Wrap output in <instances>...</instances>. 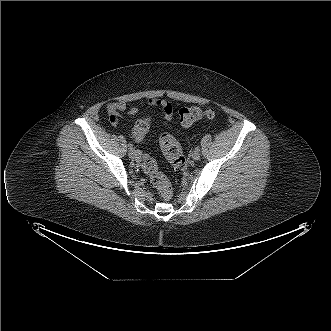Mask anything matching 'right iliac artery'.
Instances as JSON below:
<instances>
[{
    "label": "right iliac artery",
    "mask_w": 331,
    "mask_h": 331,
    "mask_svg": "<svg viewBox=\"0 0 331 331\" xmlns=\"http://www.w3.org/2000/svg\"><path fill=\"white\" fill-rule=\"evenodd\" d=\"M128 147H129V149H133V144L129 143Z\"/></svg>",
    "instance_id": "right-iliac-artery-1"
}]
</instances>
